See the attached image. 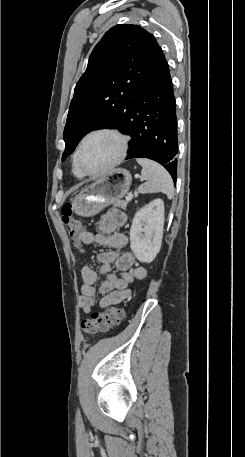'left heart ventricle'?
Segmentation results:
<instances>
[{"label":"left heart ventricle","mask_w":245,"mask_h":457,"mask_svg":"<svg viewBox=\"0 0 245 457\" xmlns=\"http://www.w3.org/2000/svg\"><path fill=\"white\" fill-rule=\"evenodd\" d=\"M119 141L112 135L99 134L87 140L80 161L85 170L95 172L108 165L116 156Z\"/></svg>","instance_id":"b2bd125f"}]
</instances>
